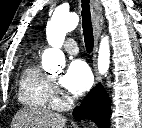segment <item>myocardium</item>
I'll return each mask as SVG.
<instances>
[{"instance_id":"myocardium-1","label":"myocardium","mask_w":142,"mask_h":128,"mask_svg":"<svg viewBox=\"0 0 142 128\" xmlns=\"http://www.w3.org/2000/svg\"><path fill=\"white\" fill-rule=\"evenodd\" d=\"M52 103L58 108H65L69 106L70 100L62 95H56L53 97Z\"/></svg>"}]
</instances>
